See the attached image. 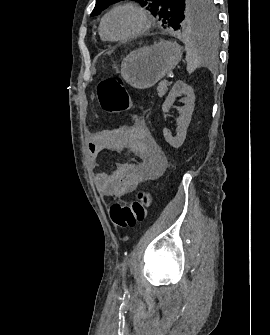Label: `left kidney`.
Masks as SVG:
<instances>
[{
	"label": "left kidney",
	"mask_w": 270,
	"mask_h": 335,
	"mask_svg": "<svg viewBox=\"0 0 270 335\" xmlns=\"http://www.w3.org/2000/svg\"><path fill=\"white\" fill-rule=\"evenodd\" d=\"M181 94H184L187 98L183 100L185 106L177 108L180 116L177 118V134L175 138L171 136L168 130H163L164 138L172 148H180L186 138L187 128L194 112L195 94L193 88L184 84L182 80H177L162 106L163 112H169V108L173 106L175 98L181 96Z\"/></svg>",
	"instance_id": "5707ae66"
}]
</instances>
